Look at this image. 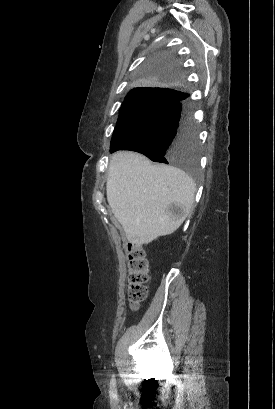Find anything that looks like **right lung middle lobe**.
<instances>
[{
    "instance_id": "dd1d6c3e",
    "label": "right lung middle lobe",
    "mask_w": 275,
    "mask_h": 409,
    "mask_svg": "<svg viewBox=\"0 0 275 409\" xmlns=\"http://www.w3.org/2000/svg\"><path fill=\"white\" fill-rule=\"evenodd\" d=\"M181 57H148L136 79L137 90H162L130 94L120 109L111 150H131L154 162L180 167L190 181L199 182L200 146L192 119L193 107L178 91L187 70H179Z\"/></svg>"
}]
</instances>
